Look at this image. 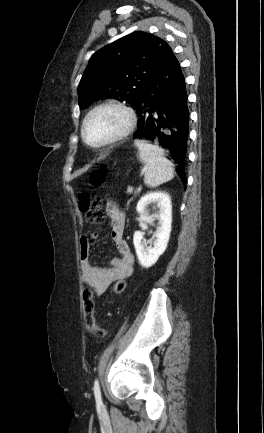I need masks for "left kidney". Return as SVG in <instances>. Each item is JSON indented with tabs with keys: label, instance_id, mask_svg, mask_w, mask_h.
I'll return each mask as SVG.
<instances>
[{
	"label": "left kidney",
	"instance_id": "left-kidney-1",
	"mask_svg": "<svg viewBox=\"0 0 264 433\" xmlns=\"http://www.w3.org/2000/svg\"><path fill=\"white\" fill-rule=\"evenodd\" d=\"M151 203L157 204L158 212L155 217L159 219L160 225L155 236L150 240L153 246L146 247L142 232L137 231L133 236L136 254L143 268H150L157 262L167 248L171 233L172 205L169 194L166 192H149L139 200L136 209L140 214L146 215L147 207Z\"/></svg>",
	"mask_w": 264,
	"mask_h": 433
}]
</instances>
